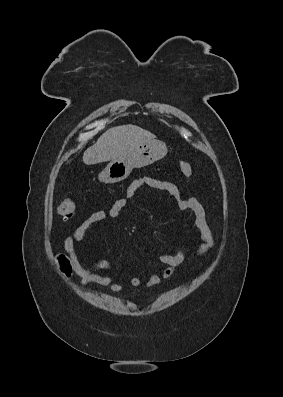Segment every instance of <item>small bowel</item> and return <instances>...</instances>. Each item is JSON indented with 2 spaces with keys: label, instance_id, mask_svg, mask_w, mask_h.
<instances>
[{
  "label": "small bowel",
  "instance_id": "obj_1",
  "mask_svg": "<svg viewBox=\"0 0 283 397\" xmlns=\"http://www.w3.org/2000/svg\"><path fill=\"white\" fill-rule=\"evenodd\" d=\"M144 187L167 191L181 211L191 213L195 217V226L199 230L202 240L197 251L199 255L205 254L211 248L213 244L212 234L202 204L196 198L184 199L178 187L172 182L158 180L149 176H141L128 186L123 197L117 199L107 210H100L88 216L79 224L73 234L65 238L64 249L72 263L74 272L80 277V284L82 286L95 283L101 286H107L113 292H121L123 290V287L112 276L100 274L101 271L112 267L111 261L100 260L91 268H85L78 259L75 245L85 239L87 231L94 224L107 219L117 218L122 209L127 205L128 200L133 198ZM191 242L192 239L188 236L185 244L174 254L161 255L159 261L165 265V268L160 274L150 275L145 283V287L153 288L159 285L162 279L170 278L174 274L175 268L183 262L190 250ZM130 283L133 287H139L142 284L141 279L136 276L130 279Z\"/></svg>",
  "mask_w": 283,
  "mask_h": 397
}]
</instances>
